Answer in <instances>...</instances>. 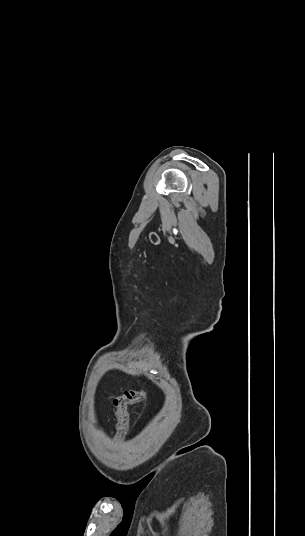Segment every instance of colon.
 Here are the masks:
<instances>
[{
  "instance_id": "1",
  "label": "colon",
  "mask_w": 305,
  "mask_h": 536,
  "mask_svg": "<svg viewBox=\"0 0 305 536\" xmlns=\"http://www.w3.org/2000/svg\"><path fill=\"white\" fill-rule=\"evenodd\" d=\"M146 392L143 387L131 388L123 394L114 397L113 405L116 410V437L121 438L128 425V407L142 402Z\"/></svg>"
}]
</instances>
